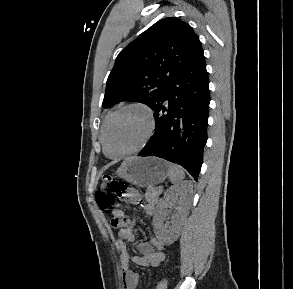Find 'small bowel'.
Segmentation results:
<instances>
[{
	"instance_id": "c3829d8e",
	"label": "small bowel",
	"mask_w": 293,
	"mask_h": 289,
	"mask_svg": "<svg viewBox=\"0 0 293 289\" xmlns=\"http://www.w3.org/2000/svg\"><path fill=\"white\" fill-rule=\"evenodd\" d=\"M127 199L132 204L139 206L143 209L144 213L148 216H154L155 208L151 204H145L142 202L141 197L136 192H129ZM113 219L123 220V224L116 238V247L121 253V271L124 289H136L139 282V275L132 270V264L139 266H161L166 258L163 252L164 244L156 237H152L148 242H138L137 255H130L127 247L128 242H134L136 226L135 219L125 218L124 211L122 209H116L112 212Z\"/></svg>"
}]
</instances>
